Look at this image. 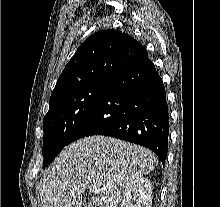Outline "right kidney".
Listing matches in <instances>:
<instances>
[{
  "label": "right kidney",
  "instance_id": "obj_1",
  "mask_svg": "<svg viewBox=\"0 0 220 207\" xmlns=\"http://www.w3.org/2000/svg\"><path fill=\"white\" fill-rule=\"evenodd\" d=\"M152 184L148 178L134 180L126 190L121 207H151Z\"/></svg>",
  "mask_w": 220,
  "mask_h": 207
}]
</instances>
